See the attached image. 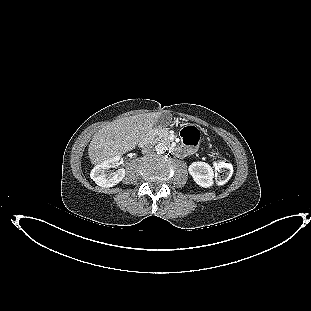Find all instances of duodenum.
I'll use <instances>...</instances> for the list:
<instances>
[{
	"label": "duodenum",
	"mask_w": 311,
	"mask_h": 311,
	"mask_svg": "<svg viewBox=\"0 0 311 311\" xmlns=\"http://www.w3.org/2000/svg\"><path fill=\"white\" fill-rule=\"evenodd\" d=\"M158 137V133L156 131H153L149 134V136L143 138L140 142L141 145H144L146 142H148V140L151 138H156ZM184 148H173L171 147L170 148V153L173 154V155H180L184 152Z\"/></svg>",
	"instance_id": "410a0bca"
}]
</instances>
